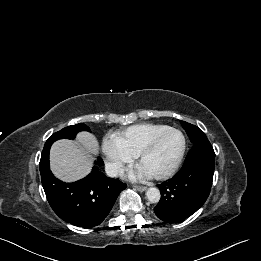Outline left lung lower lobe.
<instances>
[{
    "label": "left lung lower lobe",
    "mask_w": 261,
    "mask_h": 261,
    "mask_svg": "<svg viewBox=\"0 0 261 261\" xmlns=\"http://www.w3.org/2000/svg\"><path fill=\"white\" fill-rule=\"evenodd\" d=\"M214 150L205 137L189 151L182 169L171 179L157 185L161 199L155 214L168 223H176L195 213L206 201L214 174Z\"/></svg>",
    "instance_id": "obj_1"
}]
</instances>
